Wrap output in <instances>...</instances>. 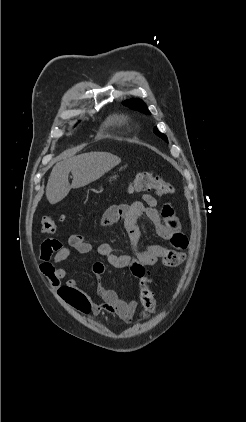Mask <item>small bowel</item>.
Instances as JSON below:
<instances>
[{
    "label": "small bowel",
    "mask_w": 246,
    "mask_h": 422,
    "mask_svg": "<svg viewBox=\"0 0 246 422\" xmlns=\"http://www.w3.org/2000/svg\"><path fill=\"white\" fill-rule=\"evenodd\" d=\"M144 200L145 204L135 202L133 204L112 205L101 218L103 227L119 222L123 223L126 235L132 245V254L118 255L109 243H102L97 247V253L111 266L115 268L129 267L136 277H139V271L145 268V265L156 264L163 259L168 251H183L188 245V239L181 231L179 220L171 205L166 204L158 210L154 197L146 195ZM142 217L153 223L157 236L169 241L172 249L158 244L139 247V220ZM69 247L79 254H87L93 249L92 245L81 234L70 236ZM69 247L63 246L57 239H47L40 247V271L56 289L59 297L84 314L99 315L106 313L128 322L136 310L137 303L135 301L123 299L116 291L99 283L96 288V295L101 301L95 302L78 287L75 279L69 278L64 284L61 283L68 276V270L58 265L69 258L71 254ZM93 272L99 280L104 272V264L102 262L94 263Z\"/></svg>",
    "instance_id": "obj_1"
}]
</instances>
